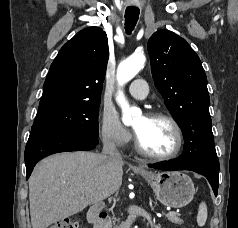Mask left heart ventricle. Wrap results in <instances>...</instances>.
<instances>
[{
    "label": "left heart ventricle",
    "mask_w": 238,
    "mask_h": 228,
    "mask_svg": "<svg viewBox=\"0 0 238 228\" xmlns=\"http://www.w3.org/2000/svg\"><path fill=\"white\" fill-rule=\"evenodd\" d=\"M134 130L142 146L153 154H167L176 143L172 125L165 119L139 117L134 123Z\"/></svg>",
    "instance_id": "b2bd125f"
}]
</instances>
